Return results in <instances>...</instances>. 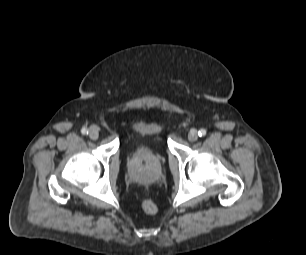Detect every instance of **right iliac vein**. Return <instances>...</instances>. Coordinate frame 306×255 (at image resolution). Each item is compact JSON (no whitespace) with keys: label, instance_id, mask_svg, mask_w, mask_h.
<instances>
[{"label":"right iliac vein","instance_id":"1","mask_svg":"<svg viewBox=\"0 0 306 255\" xmlns=\"http://www.w3.org/2000/svg\"><path fill=\"white\" fill-rule=\"evenodd\" d=\"M89 137L93 140H96L99 137V128L97 126L90 127Z\"/></svg>","mask_w":306,"mask_h":255}]
</instances>
